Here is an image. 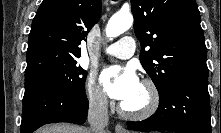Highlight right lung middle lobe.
Instances as JSON below:
<instances>
[{
  "mask_svg": "<svg viewBox=\"0 0 221 133\" xmlns=\"http://www.w3.org/2000/svg\"><path fill=\"white\" fill-rule=\"evenodd\" d=\"M85 70L77 65V62L70 64H58L39 69L25 78L36 77L56 83L70 91L81 92L85 90Z\"/></svg>",
  "mask_w": 221,
  "mask_h": 133,
  "instance_id": "dd1d6c3e",
  "label": "right lung middle lobe"
}]
</instances>
